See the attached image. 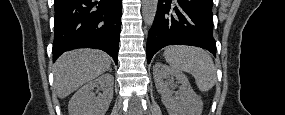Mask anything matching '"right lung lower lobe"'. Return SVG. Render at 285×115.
Returning <instances> with one entry per match:
<instances>
[{
  "label": "right lung lower lobe",
  "instance_id": "1",
  "mask_svg": "<svg viewBox=\"0 0 285 115\" xmlns=\"http://www.w3.org/2000/svg\"><path fill=\"white\" fill-rule=\"evenodd\" d=\"M53 61L76 48H96L117 64L122 0H55Z\"/></svg>",
  "mask_w": 285,
  "mask_h": 115
}]
</instances>
